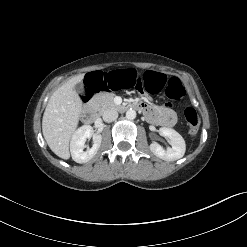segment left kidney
Listing matches in <instances>:
<instances>
[{
	"mask_svg": "<svg viewBox=\"0 0 247 247\" xmlns=\"http://www.w3.org/2000/svg\"><path fill=\"white\" fill-rule=\"evenodd\" d=\"M161 136L167 137L171 140V148L165 149L157 142L150 144L151 152L166 161H175L184 156L186 144L183 137L174 129L161 127L159 129Z\"/></svg>",
	"mask_w": 247,
	"mask_h": 247,
	"instance_id": "1",
	"label": "left kidney"
}]
</instances>
